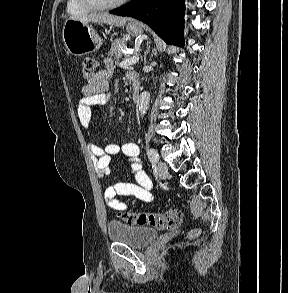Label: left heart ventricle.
Returning <instances> with one entry per match:
<instances>
[{
	"label": "left heart ventricle",
	"instance_id": "left-heart-ventricle-1",
	"mask_svg": "<svg viewBox=\"0 0 288 293\" xmlns=\"http://www.w3.org/2000/svg\"><path fill=\"white\" fill-rule=\"evenodd\" d=\"M100 1H103V2H113V1H116V0H100Z\"/></svg>",
	"mask_w": 288,
	"mask_h": 293
}]
</instances>
